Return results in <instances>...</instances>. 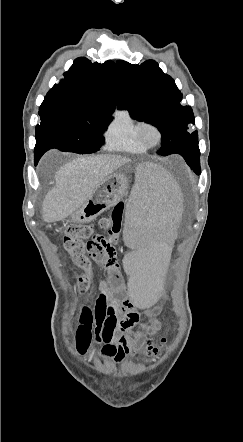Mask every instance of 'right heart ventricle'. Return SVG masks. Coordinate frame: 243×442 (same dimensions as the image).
<instances>
[{"label": "right heart ventricle", "instance_id": "e07e8e85", "mask_svg": "<svg viewBox=\"0 0 243 442\" xmlns=\"http://www.w3.org/2000/svg\"><path fill=\"white\" fill-rule=\"evenodd\" d=\"M142 121L127 108L115 111L104 134L107 149L129 154L146 153L148 148L138 138Z\"/></svg>", "mask_w": 243, "mask_h": 442}]
</instances>
